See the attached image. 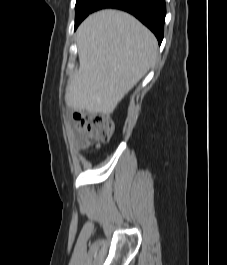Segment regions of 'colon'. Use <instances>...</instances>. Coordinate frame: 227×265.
<instances>
[{
    "instance_id": "colon-1",
    "label": "colon",
    "mask_w": 227,
    "mask_h": 265,
    "mask_svg": "<svg viewBox=\"0 0 227 265\" xmlns=\"http://www.w3.org/2000/svg\"><path fill=\"white\" fill-rule=\"evenodd\" d=\"M73 118L82 132V147H87L95 141L108 142L115 130L114 122L108 113L77 109L73 111Z\"/></svg>"
}]
</instances>
